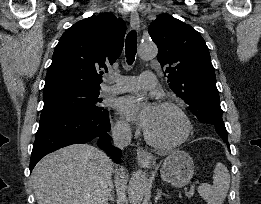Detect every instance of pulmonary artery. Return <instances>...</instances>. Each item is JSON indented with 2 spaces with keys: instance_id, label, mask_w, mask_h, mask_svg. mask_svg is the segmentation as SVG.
Wrapping results in <instances>:
<instances>
[{
  "instance_id": "pulmonary-artery-1",
  "label": "pulmonary artery",
  "mask_w": 261,
  "mask_h": 204,
  "mask_svg": "<svg viewBox=\"0 0 261 204\" xmlns=\"http://www.w3.org/2000/svg\"><path fill=\"white\" fill-rule=\"evenodd\" d=\"M110 80L114 82L113 85L103 87L105 93H124L138 90L140 88H154L157 83L156 75L153 71H144L139 76H110Z\"/></svg>"
}]
</instances>
